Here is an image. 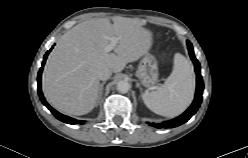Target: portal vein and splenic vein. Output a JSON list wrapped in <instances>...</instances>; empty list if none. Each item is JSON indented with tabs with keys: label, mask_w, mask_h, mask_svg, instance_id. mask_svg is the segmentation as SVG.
<instances>
[{
	"label": "portal vein and splenic vein",
	"mask_w": 248,
	"mask_h": 158,
	"mask_svg": "<svg viewBox=\"0 0 248 158\" xmlns=\"http://www.w3.org/2000/svg\"><path fill=\"white\" fill-rule=\"evenodd\" d=\"M118 41H119V38L118 37H111L110 38V44H108L106 47H105V52H110L112 51L118 44Z\"/></svg>",
	"instance_id": "1"
}]
</instances>
